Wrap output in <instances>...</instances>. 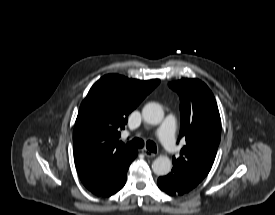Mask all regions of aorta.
<instances>
[{
	"instance_id": "762f6f07",
	"label": "aorta",
	"mask_w": 275,
	"mask_h": 215,
	"mask_svg": "<svg viewBox=\"0 0 275 215\" xmlns=\"http://www.w3.org/2000/svg\"><path fill=\"white\" fill-rule=\"evenodd\" d=\"M145 122L151 125H158L164 118V112L158 103H148L142 110ZM172 169V162L167 156H159L152 163V170L156 175H167Z\"/></svg>"
}]
</instances>
